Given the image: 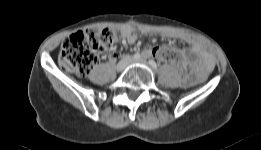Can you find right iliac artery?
Masks as SVG:
<instances>
[{
    "label": "right iliac artery",
    "mask_w": 261,
    "mask_h": 150,
    "mask_svg": "<svg viewBox=\"0 0 261 150\" xmlns=\"http://www.w3.org/2000/svg\"><path fill=\"white\" fill-rule=\"evenodd\" d=\"M141 58V55L139 53L134 54L133 59L139 60Z\"/></svg>",
    "instance_id": "obj_1"
}]
</instances>
